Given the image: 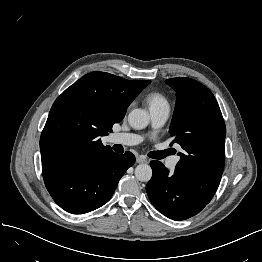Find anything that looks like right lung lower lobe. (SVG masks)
I'll return each mask as SVG.
<instances>
[{
  "instance_id": "obj_1",
  "label": "right lung lower lobe",
  "mask_w": 262,
  "mask_h": 262,
  "mask_svg": "<svg viewBox=\"0 0 262 262\" xmlns=\"http://www.w3.org/2000/svg\"><path fill=\"white\" fill-rule=\"evenodd\" d=\"M134 162L131 152L122 155L108 151L97 157L42 163V173L53 200L70 213L83 214L110 200Z\"/></svg>"
}]
</instances>
